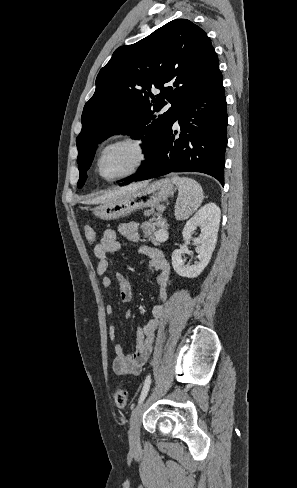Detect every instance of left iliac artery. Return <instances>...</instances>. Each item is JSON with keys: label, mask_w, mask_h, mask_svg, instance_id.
<instances>
[{"label": "left iliac artery", "mask_w": 297, "mask_h": 488, "mask_svg": "<svg viewBox=\"0 0 297 488\" xmlns=\"http://www.w3.org/2000/svg\"><path fill=\"white\" fill-rule=\"evenodd\" d=\"M150 384H151V378H150V375H149L145 379V382H144V385H143V388H142V391H141V394H140V397H139L138 404H141L144 401L145 397L148 394V391H149V388H150Z\"/></svg>", "instance_id": "44dca946"}]
</instances>
